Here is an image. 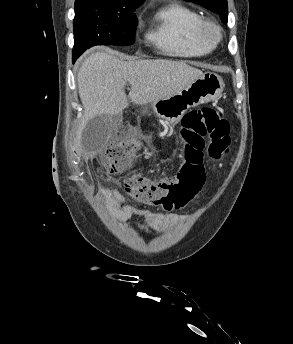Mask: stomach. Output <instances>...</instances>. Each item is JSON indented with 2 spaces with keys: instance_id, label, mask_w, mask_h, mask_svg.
<instances>
[{
  "instance_id": "stomach-1",
  "label": "stomach",
  "mask_w": 293,
  "mask_h": 344,
  "mask_svg": "<svg viewBox=\"0 0 293 344\" xmlns=\"http://www.w3.org/2000/svg\"><path fill=\"white\" fill-rule=\"evenodd\" d=\"M221 76L205 72L180 93L152 103L155 114L165 123L177 124L191 108L199 104L216 100L224 89Z\"/></svg>"
}]
</instances>
